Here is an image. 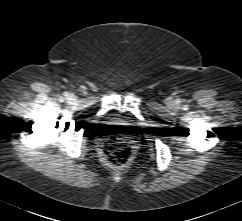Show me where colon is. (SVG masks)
Wrapping results in <instances>:
<instances>
[{"label": "colon", "mask_w": 242, "mask_h": 221, "mask_svg": "<svg viewBox=\"0 0 242 221\" xmlns=\"http://www.w3.org/2000/svg\"><path fill=\"white\" fill-rule=\"evenodd\" d=\"M104 156L111 165L122 166L132 156V145L127 141L109 140L104 145Z\"/></svg>", "instance_id": "1"}]
</instances>
